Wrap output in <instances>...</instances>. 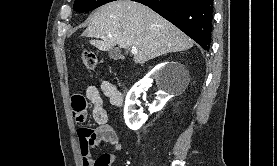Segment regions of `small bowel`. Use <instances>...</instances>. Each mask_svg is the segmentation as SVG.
<instances>
[{"instance_id":"small-bowel-1","label":"small bowel","mask_w":277,"mask_h":166,"mask_svg":"<svg viewBox=\"0 0 277 166\" xmlns=\"http://www.w3.org/2000/svg\"><path fill=\"white\" fill-rule=\"evenodd\" d=\"M102 94L106 96L114 106L122 105V96L117 88L109 81H102L100 88L94 85L86 87L85 95L75 94L71 98L72 115L78 123L85 122L88 105L92 107V116L97 124L94 129L82 127L78 130L79 148L83 166H110L116 159V155L103 153L97 159L92 158L91 150L102 143H108L115 151L123 148L115 129L108 124L107 111L103 105ZM97 162L100 164L97 165Z\"/></svg>"}]
</instances>
